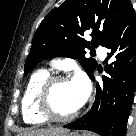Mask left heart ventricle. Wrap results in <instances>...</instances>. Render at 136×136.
Listing matches in <instances>:
<instances>
[{"mask_svg": "<svg viewBox=\"0 0 136 136\" xmlns=\"http://www.w3.org/2000/svg\"><path fill=\"white\" fill-rule=\"evenodd\" d=\"M50 105L54 113L66 116L78 109L74 90L70 81L54 85L50 95Z\"/></svg>", "mask_w": 136, "mask_h": 136, "instance_id": "b2bd125f", "label": "left heart ventricle"}]
</instances>
